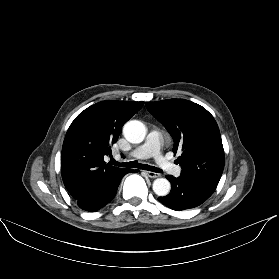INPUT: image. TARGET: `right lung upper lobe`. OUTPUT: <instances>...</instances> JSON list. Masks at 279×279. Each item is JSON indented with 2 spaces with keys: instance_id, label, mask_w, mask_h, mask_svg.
Segmentation results:
<instances>
[{
  "instance_id": "cb5924a9",
  "label": "right lung upper lobe",
  "mask_w": 279,
  "mask_h": 279,
  "mask_svg": "<svg viewBox=\"0 0 279 279\" xmlns=\"http://www.w3.org/2000/svg\"><path fill=\"white\" fill-rule=\"evenodd\" d=\"M144 102L102 101L81 112L70 125L63 142L61 170L64 185L75 200L99 192L128 169L106 164L110 145L122 126Z\"/></svg>"
}]
</instances>
